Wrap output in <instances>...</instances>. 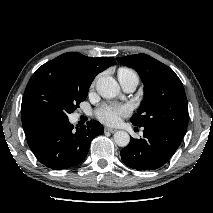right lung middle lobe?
Wrapping results in <instances>:
<instances>
[{"label": "right lung middle lobe", "instance_id": "1", "mask_svg": "<svg viewBox=\"0 0 213 213\" xmlns=\"http://www.w3.org/2000/svg\"><path fill=\"white\" fill-rule=\"evenodd\" d=\"M90 83L42 65L29 80L22 99L21 109H36L68 119L88 95Z\"/></svg>", "mask_w": 213, "mask_h": 213}]
</instances>
